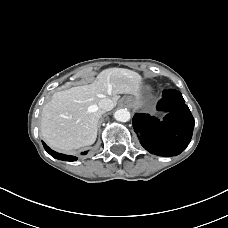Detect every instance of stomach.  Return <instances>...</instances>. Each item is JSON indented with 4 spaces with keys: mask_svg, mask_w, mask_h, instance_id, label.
I'll return each instance as SVG.
<instances>
[{
    "mask_svg": "<svg viewBox=\"0 0 228 228\" xmlns=\"http://www.w3.org/2000/svg\"><path fill=\"white\" fill-rule=\"evenodd\" d=\"M126 103H127V104H130V105H132V106H137V104H138L137 100L131 99V98H127V99H126Z\"/></svg>",
    "mask_w": 228,
    "mask_h": 228,
    "instance_id": "1",
    "label": "stomach"
}]
</instances>
